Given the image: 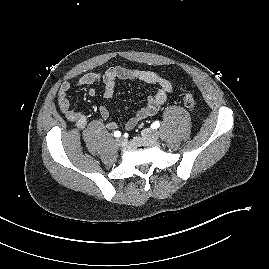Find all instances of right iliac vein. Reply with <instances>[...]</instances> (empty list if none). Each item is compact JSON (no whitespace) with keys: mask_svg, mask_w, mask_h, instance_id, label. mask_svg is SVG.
<instances>
[{"mask_svg":"<svg viewBox=\"0 0 269 269\" xmlns=\"http://www.w3.org/2000/svg\"><path fill=\"white\" fill-rule=\"evenodd\" d=\"M116 142L119 146H125L127 144V140L123 137L118 138Z\"/></svg>","mask_w":269,"mask_h":269,"instance_id":"63e3f726","label":"right iliac vein"}]
</instances>
